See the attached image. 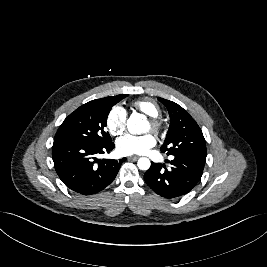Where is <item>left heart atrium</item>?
Segmentation results:
<instances>
[{"instance_id":"left-heart-atrium-1","label":"left heart atrium","mask_w":267,"mask_h":267,"mask_svg":"<svg viewBox=\"0 0 267 267\" xmlns=\"http://www.w3.org/2000/svg\"><path fill=\"white\" fill-rule=\"evenodd\" d=\"M156 145V138L152 134L141 136L126 134L116 142L117 151L121 155L146 154Z\"/></svg>"}]
</instances>
